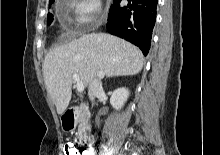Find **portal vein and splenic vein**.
<instances>
[{
	"mask_svg": "<svg viewBox=\"0 0 220 155\" xmlns=\"http://www.w3.org/2000/svg\"><path fill=\"white\" fill-rule=\"evenodd\" d=\"M73 80H74V82L76 83L77 90H78L79 92H83V90H84V84H83V82L81 81L79 75H78V74H73Z\"/></svg>",
	"mask_w": 220,
	"mask_h": 155,
	"instance_id": "18ae733b",
	"label": "portal vein and splenic vein"
}]
</instances>
